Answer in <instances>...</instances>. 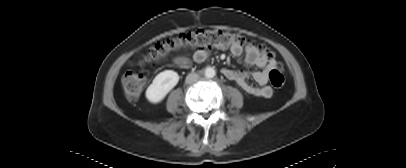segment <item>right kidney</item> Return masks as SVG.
<instances>
[{"label": "right kidney", "instance_id": "ca27d5eb", "mask_svg": "<svg viewBox=\"0 0 406 168\" xmlns=\"http://www.w3.org/2000/svg\"><path fill=\"white\" fill-rule=\"evenodd\" d=\"M179 75L173 70L160 72L146 90V98L151 103L161 102L177 85Z\"/></svg>", "mask_w": 406, "mask_h": 168}]
</instances>
